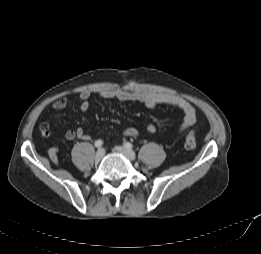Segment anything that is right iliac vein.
I'll use <instances>...</instances> for the list:
<instances>
[{"mask_svg": "<svg viewBox=\"0 0 261 254\" xmlns=\"http://www.w3.org/2000/svg\"><path fill=\"white\" fill-rule=\"evenodd\" d=\"M105 154L104 149H99L95 154V162H100Z\"/></svg>", "mask_w": 261, "mask_h": 254, "instance_id": "63e3f726", "label": "right iliac vein"}]
</instances>
